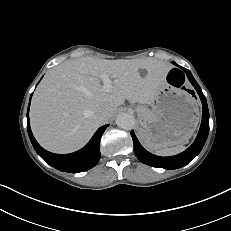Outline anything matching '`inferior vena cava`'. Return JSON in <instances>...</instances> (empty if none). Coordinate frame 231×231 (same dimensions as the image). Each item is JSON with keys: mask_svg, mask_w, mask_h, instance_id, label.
Wrapping results in <instances>:
<instances>
[{"mask_svg": "<svg viewBox=\"0 0 231 231\" xmlns=\"http://www.w3.org/2000/svg\"><path fill=\"white\" fill-rule=\"evenodd\" d=\"M98 117L101 120H107L109 118V113L106 110H101V111L98 112Z\"/></svg>", "mask_w": 231, "mask_h": 231, "instance_id": "inferior-vena-cava-1", "label": "inferior vena cava"}]
</instances>
